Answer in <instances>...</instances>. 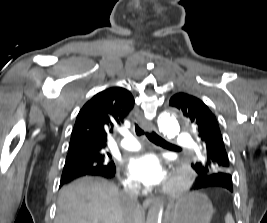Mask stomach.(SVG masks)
<instances>
[{
  "label": "stomach",
  "mask_w": 267,
  "mask_h": 223,
  "mask_svg": "<svg viewBox=\"0 0 267 223\" xmlns=\"http://www.w3.org/2000/svg\"><path fill=\"white\" fill-rule=\"evenodd\" d=\"M213 206L208 197L192 192L178 197L171 208L168 223H210Z\"/></svg>",
  "instance_id": "0dacf381"
}]
</instances>
